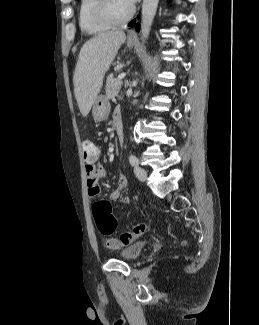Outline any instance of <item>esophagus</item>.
Wrapping results in <instances>:
<instances>
[{
  "mask_svg": "<svg viewBox=\"0 0 259 325\" xmlns=\"http://www.w3.org/2000/svg\"><path fill=\"white\" fill-rule=\"evenodd\" d=\"M128 38L129 39H135L136 38V33L134 30H130L128 33Z\"/></svg>",
  "mask_w": 259,
  "mask_h": 325,
  "instance_id": "1",
  "label": "esophagus"
}]
</instances>
